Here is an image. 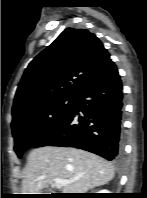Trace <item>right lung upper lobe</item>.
<instances>
[{"label": "right lung upper lobe", "mask_w": 147, "mask_h": 198, "mask_svg": "<svg viewBox=\"0 0 147 198\" xmlns=\"http://www.w3.org/2000/svg\"><path fill=\"white\" fill-rule=\"evenodd\" d=\"M110 62L95 34L66 28L25 70L14 98L12 122L51 101L75 99Z\"/></svg>", "instance_id": "obj_1"}]
</instances>
